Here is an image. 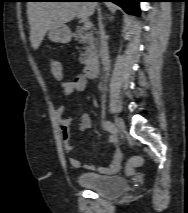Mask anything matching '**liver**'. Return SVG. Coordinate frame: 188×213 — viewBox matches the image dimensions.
<instances>
[{"instance_id":"liver-1","label":"liver","mask_w":188,"mask_h":213,"mask_svg":"<svg viewBox=\"0 0 188 213\" xmlns=\"http://www.w3.org/2000/svg\"><path fill=\"white\" fill-rule=\"evenodd\" d=\"M96 7V2H28L27 15L33 49L40 47L49 29L70 22L76 16L89 17Z\"/></svg>"}]
</instances>
